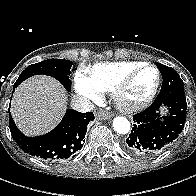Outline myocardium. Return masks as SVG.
Returning <instances> with one entry per match:
<instances>
[{"label": "myocardium", "instance_id": "obj_1", "mask_svg": "<svg viewBox=\"0 0 196 196\" xmlns=\"http://www.w3.org/2000/svg\"><path fill=\"white\" fill-rule=\"evenodd\" d=\"M146 68L153 69L157 74L156 83L154 87L152 88L151 92L144 99L138 102L126 101L124 99V94L126 90L129 88V86L134 81V79L138 76V74ZM161 81H162V76H161L160 70L153 64L143 63L142 65L130 71L127 75H125L121 79V81L112 90V98L115 104L123 111H126V112L140 111L144 109L145 107H147L153 101V99L155 98L159 90Z\"/></svg>", "mask_w": 196, "mask_h": 196}]
</instances>
